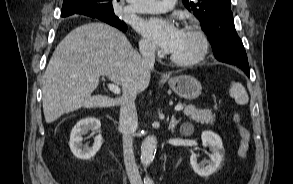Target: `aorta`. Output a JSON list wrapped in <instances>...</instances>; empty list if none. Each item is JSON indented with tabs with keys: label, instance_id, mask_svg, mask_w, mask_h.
Instances as JSON below:
<instances>
[{
	"label": "aorta",
	"instance_id": "1",
	"mask_svg": "<svg viewBox=\"0 0 293 184\" xmlns=\"http://www.w3.org/2000/svg\"><path fill=\"white\" fill-rule=\"evenodd\" d=\"M157 148V140L154 136H149L144 139L141 145V162L144 167L149 166L153 159ZM145 184H153V181L149 177H145Z\"/></svg>",
	"mask_w": 293,
	"mask_h": 184
}]
</instances>
